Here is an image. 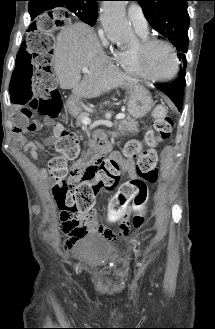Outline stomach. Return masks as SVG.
<instances>
[{"mask_svg": "<svg viewBox=\"0 0 215 329\" xmlns=\"http://www.w3.org/2000/svg\"><path fill=\"white\" fill-rule=\"evenodd\" d=\"M129 97L127 102V111L133 118L138 119L147 115L154 106L150 92L143 86L129 84L126 86ZM67 108L70 113L80 111L79 101L77 99H69Z\"/></svg>", "mask_w": 215, "mask_h": 329, "instance_id": "0dacf381", "label": "stomach"}]
</instances>
